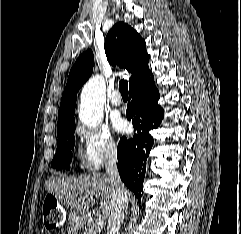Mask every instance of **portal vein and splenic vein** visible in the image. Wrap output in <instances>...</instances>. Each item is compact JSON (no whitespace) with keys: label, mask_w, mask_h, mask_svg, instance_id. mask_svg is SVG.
I'll return each mask as SVG.
<instances>
[{"label":"portal vein and splenic vein","mask_w":241,"mask_h":234,"mask_svg":"<svg viewBox=\"0 0 241 234\" xmlns=\"http://www.w3.org/2000/svg\"><path fill=\"white\" fill-rule=\"evenodd\" d=\"M103 225H104V221H103V219H101V218L95 219V220L92 222V226H93L94 228L99 229V230L103 228Z\"/></svg>","instance_id":"portal-vein-and-splenic-vein-1"}]
</instances>
